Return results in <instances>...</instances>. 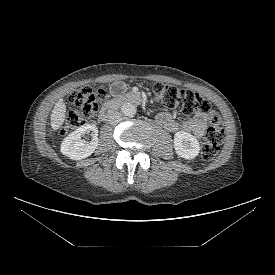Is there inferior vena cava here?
Here are the masks:
<instances>
[{
	"label": "inferior vena cava",
	"mask_w": 275,
	"mask_h": 275,
	"mask_svg": "<svg viewBox=\"0 0 275 275\" xmlns=\"http://www.w3.org/2000/svg\"><path fill=\"white\" fill-rule=\"evenodd\" d=\"M122 120V115L119 112H113L110 116H109V123L111 125H116L119 122H121Z\"/></svg>",
	"instance_id": "1"
}]
</instances>
